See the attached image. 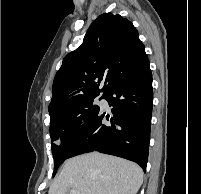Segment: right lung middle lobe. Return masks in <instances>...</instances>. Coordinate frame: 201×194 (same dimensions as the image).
<instances>
[{
    "mask_svg": "<svg viewBox=\"0 0 201 194\" xmlns=\"http://www.w3.org/2000/svg\"><path fill=\"white\" fill-rule=\"evenodd\" d=\"M96 97L97 96L83 99L71 106L63 114L57 117H51V124L49 128L51 140L60 141L62 143L82 124L91 120L100 110V107L94 104V99ZM102 98L103 96L100 99ZM59 149L60 146L52 143V153L55 160L54 175L59 165L64 161L58 155Z\"/></svg>",
    "mask_w": 201,
    "mask_h": 194,
    "instance_id": "dd1d6c3e",
    "label": "right lung middle lobe"
}]
</instances>
